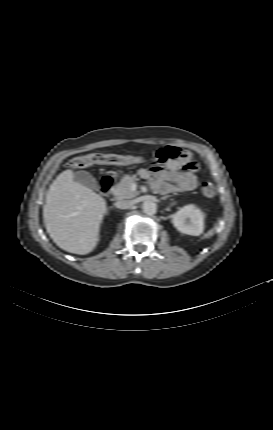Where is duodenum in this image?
I'll list each match as a JSON object with an SVG mask.
<instances>
[{
  "mask_svg": "<svg viewBox=\"0 0 273 430\" xmlns=\"http://www.w3.org/2000/svg\"><path fill=\"white\" fill-rule=\"evenodd\" d=\"M114 178L112 176H104L99 184V191L102 195H108L114 184Z\"/></svg>",
  "mask_w": 273,
  "mask_h": 430,
  "instance_id": "duodenum-1",
  "label": "duodenum"
}]
</instances>
